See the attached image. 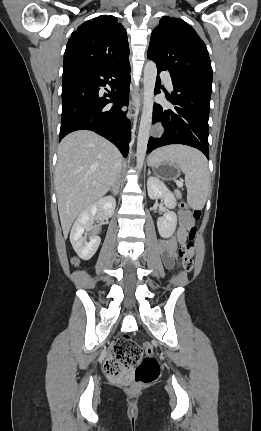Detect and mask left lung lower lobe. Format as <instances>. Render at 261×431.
Returning <instances> with one entry per match:
<instances>
[{"mask_svg":"<svg viewBox=\"0 0 261 431\" xmlns=\"http://www.w3.org/2000/svg\"><path fill=\"white\" fill-rule=\"evenodd\" d=\"M158 74L164 69L157 67ZM174 91L166 97L173 105L164 109L154 104L153 124L161 123L163 132L150 137L147 153L170 144H184L199 149L209 159L208 118L210 110L211 85L190 79L172 76ZM160 77L157 75L155 94L160 93Z\"/></svg>","mask_w":261,"mask_h":431,"instance_id":"obj_1","label":"left lung lower lobe"}]
</instances>
